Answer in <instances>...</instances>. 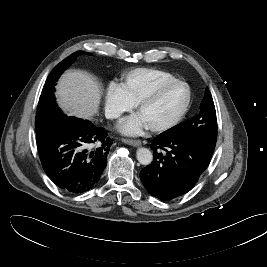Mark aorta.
Wrapping results in <instances>:
<instances>
[{"label": "aorta", "mask_w": 267, "mask_h": 267, "mask_svg": "<svg viewBox=\"0 0 267 267\" xmlns=\"http://www.w3.org/2000/svg\"><path fill=\"white\" fill-rule=\"evenodd\" d=\"M136 157L142 165H149L153 160L152 152L147 148H139Z\"/></svg>", "instance_id": "762f6f07"}]
</instances>
